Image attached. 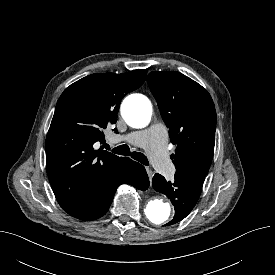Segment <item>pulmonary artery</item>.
I'll use <instances>...</instances> for the list:
<instances>
[{
    "label": "pulmonary artery",
    "mask_w": 275,
    "mask_h": 275,
    "mask_svg": "<svg viewBox=\"0 0 275 275\" xmlns=\"http://www.w3.org/2000/svg\"><path fill=\"white\" fill-rule=\"evenodd\" d=\"M119 139L146 149L152 165L163 175L169 177L174 173V165L166 151L167 134L163 127L153 126L147 130L134 131L120 136Z\"/></svg>",
    "instance_id": "e3ab8cb5"
}]
</instances>
